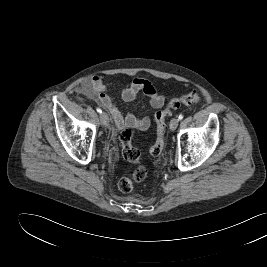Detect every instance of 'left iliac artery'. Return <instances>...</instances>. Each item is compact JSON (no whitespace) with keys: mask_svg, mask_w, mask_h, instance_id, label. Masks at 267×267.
Returning a JSON list of instances; mask_svg holds the SVG:
<instances>
[{"mask_svg":"<svg viewBox=\"0 0 267 267\" xmlns=\"http://www.w3.org/2000/svg\"><path fill=\"white\" fill-rule=\"evenodd\" d=\"M182 119H183V115L180 114V115L178 116V120L181 121Z\"/></svg>","mask_w":267,"mask_h":267,"instance_id":"44dca946","label":"left iliac artery"}]
</instances>
